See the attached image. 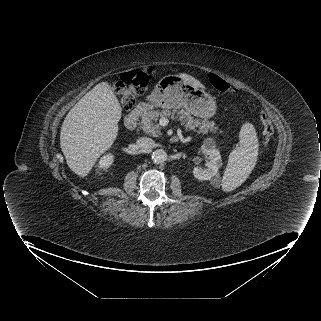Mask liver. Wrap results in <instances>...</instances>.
I'll return each instance as SVG.
<instances>
[{"label": "liver", "instance_id": "liver-1", "mask_svg": "<svg viewBox=\"0 0 321 321\" xmlns=\"http://www.w3.org/2000/svg\"><path fill=\"white\" fill-rule=\"evenodd\" d=\"M180 76L195 87H204L188 74ZM121 116L120 103L107 82L97 84L69 111L61 127L60 146L75 174L87 176L97 159L112 146Z\"/></svg>", "mask_w": 321, "mask_h": 321}]
</instances>
